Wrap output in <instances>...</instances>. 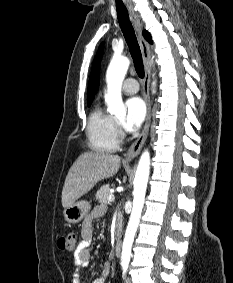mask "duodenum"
<instances>
[{"label":"duodenum","instance_id":"obj_1","mask_svg":"<svg viewBox=\"0 0 233 283\" xmlns=\"http://www.w3.org/2000/svg\"><path fill=\"white\" fill-rule=\"evenodd\" d=\"M121 249H122V242H121V240L119 238H117L116 242H115V254L117 256H120Z\"/></svg>","mask_w":233,"mask_h":283}]
</instances>
